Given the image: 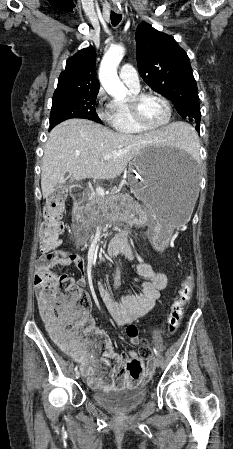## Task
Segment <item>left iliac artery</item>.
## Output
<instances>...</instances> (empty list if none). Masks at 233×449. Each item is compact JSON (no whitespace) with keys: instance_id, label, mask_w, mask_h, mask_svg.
Masks as SVG:
<instances>
[{"instance_id":"left-iliac-artery-1","label":"left iliac artery","mask_w":233,"mask_h":449,"mask_svg":"<svg viewBox=\"0 0 233 449\" xmlns=\"http://www.w3.org/2000/svg\"><path fill=\"white\" fill-rule=\"evenodd\" d=\"M153 350H154L155 355L158 356L159 354H158L157 349H156V348H153Z\"/></svg>"}]
</instances>
